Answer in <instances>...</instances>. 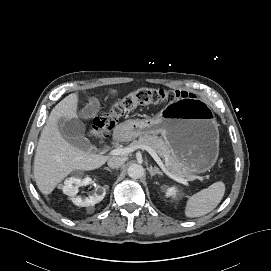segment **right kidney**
<instances>
[{
	"mask_svg": "<svg viewBox=\"0 0 271 271\" xmlns=\"http://www.w3.org/2000/svg\"><path fill=\"white\" fill-rule=\"evenodd\" d=\"M92 183L91 178L86 177L84 179L78 177H70L64 181L63 192L66 195L72 197V201L75 205L81 207H87L95 205L96 203L103 200L105 196V190L99 185L96 187V190L92 196L87 198H82L80 196H76L78 193V188L81 186H86Z\"/></svg>",
	"mask_w": 271,
	"mask_h": 271,
	"instance_id": "ca27d5eb",
	"label": "right kidney"
}]
</instances>
